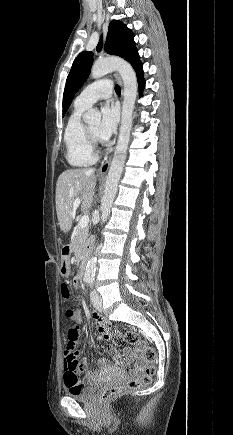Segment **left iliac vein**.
I'll return each instance as SVG.
<instances>
[{
  "mask_svg": "<svg viewBox=\"0 0 233 435\" xmlns=\"http://www.w3.org/2000/svg\"><path fill=\"white\" fill-rule=\"evenodd\" d=\"M91 301L94 308L98 311H102V298L99 294H97L94 290L91 291Z\"/></svg>",
  "mask_w": 233,
  "mask_h": 435,
  "instance_id": "left-iliac-vein-1",
  "label": "left iliac vein"
}]
</instances>
